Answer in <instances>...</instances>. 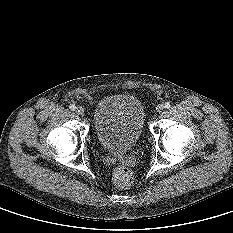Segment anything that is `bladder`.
I'll return each instance as SVG.
<instances>
[{
	"instance_id": "obj_1",
	"label": "bladder",
	"mask_w": 233,
	"mask_h": 233,
	"mask_svg": "<svg viewBox=\"0 0 233 233\" xmlns=\"http://www.w3.org/2000/svg\"><path fill=\"white\" fill-rule=\"evenodd\" d=\"M145 125L142 102L130 94H112L100 99L93 111V127L100 145L119 154L133 148Z\"/></svg>"
}]
</instances>
